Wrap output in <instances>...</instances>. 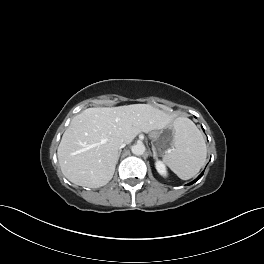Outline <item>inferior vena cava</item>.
<instances>
[{
  "mask_svg": "<svg viewBox=\"0 0 264 264\" xmlns=\"http://www.w3.org/2000/svg\"><path fill=\"white\" fill-rule=\"evenodd\" d=\"M125 145H126V143H125V142H123V141H120V143H119V149H121V148L125 147Z\"/></svg>",
  "mask_w": 264,
  "mask_h": 264,
  "instance_id": "inferior-vena-cava-1",
  "label": "inferior vena cava"
}]
</instances>
